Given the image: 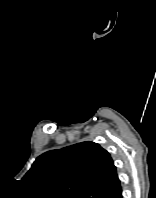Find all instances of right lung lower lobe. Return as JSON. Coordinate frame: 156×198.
<instances>
[{"label": "right lung lower lobe", "mask_w": 156, "mask_h": 198, "mask_svg": "<svg viewBox=\"0 0 156 198\" xmlns=\"http://www.w3.org/2000/svg\"><path fill=\"white\" fill-rule=\"evenodd\" d=\"M115 198H123L122 197V191Z\"/></svg>", "instance_id": "right-lung-lower-lobe-1"}]
</instances>
